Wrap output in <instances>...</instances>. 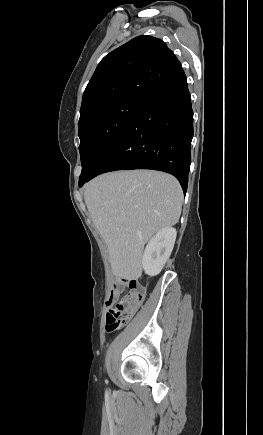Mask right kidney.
Returning <instances> with one entry per match:
<instances>
[{
  "label": "right kidney",
  "instance_id": "right-kidney-1",
  "mask_svg": "<svg viewBox=\"0 0 263 435\" xmlns=\"http://www.w3.org/2000/svg\"><path fill=\"white\" fill-rule=\"evenodd\" d=\"M176 235V229L167 226L150 239L142 258V267L146 274L155 276L160 273L173 250Z\"/></svg>",
  "mask_w": 263,
  "mask_h": 435
}]
</instances>
